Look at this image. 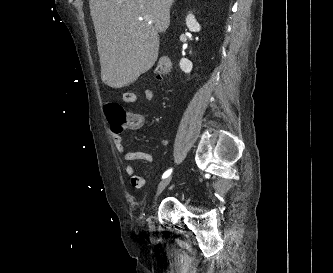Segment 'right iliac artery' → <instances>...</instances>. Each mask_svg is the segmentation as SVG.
<instances>
[{
	"label": "right iliac artery",
	"instance_id": "82829eb1",
	"mask_svg": "<svg viewBox=\"0 0 333 273\" xmlns=\"http://www.w3.org/2000/svg\"><path fill=\"white\" fill-rule=\"evenodd\" d=\"M171 172H172V168L169 169V170H167V171L163 174L162 178H166V177H168V176L171 174Z\"/></svg>",
	"mask_w": 333,
	"mask_h": 273
}]
</instances>
